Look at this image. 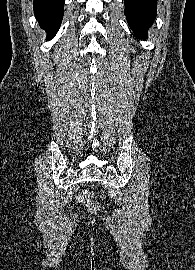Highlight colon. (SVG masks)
<instances>
[{
  "label": "colon",
  "instance_id": "1",
  "mask_svg": "<svg viewBox=\"0 0 195 270\" xmlns=\"http://www.w3.org/2000/svg\"><path fill=\"white\" fill-rule=\"evenodd\" d=\"M78 201L85 203L87 206V209L91 213H97L99 210V205L96 201L92 200L90 195L88 194H81L78 196Z\"/></svg>",
  "mask_w": 195,
  "mask_h": 270
}]
</instances>
